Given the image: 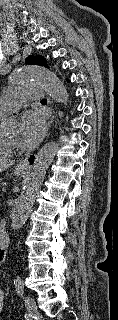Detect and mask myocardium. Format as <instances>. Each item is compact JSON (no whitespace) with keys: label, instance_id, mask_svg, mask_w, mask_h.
<instances>
[{"label":"myocardium","instance_id":"f54148a6","mask_svg":"<svg viewBox=\"0 0 118 320\" xmlns=\"http://www.w3.org/2000/svg\"><path fill=\"white\" fill-rule=\"evenodd\" d=\"M5 137L10 142L11 145H18V142L16 139L10 138L8 136H5Z\"/></svg>","mask_w":118,"mask_h":320}]
</instances>
